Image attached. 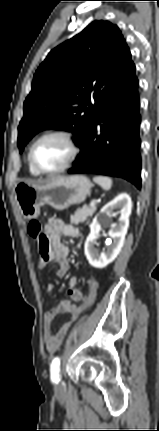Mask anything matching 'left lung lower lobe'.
Listing matches in <instances>:
<instances>
[{"label":"left lung lower lobe","mask_w":159,"mask_h":431,"mask_svg":"<svg viewBox=\"0 0 159 431\" xmlns=\"http://www.w3.org/2000/svg\"><path fill=\"white\" fill-rule=\"evenodd\" d=\"M135 65L112 90L78 145L80 154L68 173L120 177L141 188L140 104Z\"/></svg>","instance_id":"left-lung-lower-lobe-1"}]
</instances>
